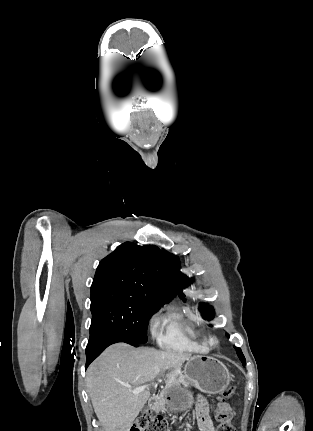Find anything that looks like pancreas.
I'll list each match as a JSON object with an SVG mask.
<instances>
[{"label": "pancreas", "instance_id": "cf45deb5", "mask_svg": "<svg viewBox=\"0 0 313 431\" xmlns=\"http://www.w3.org/2000/svg\"><path fill=\"white\" fill-rule=\"evenodd\" d=\"M174 382H175L177 385H181V384H182L185 388H186V387H188V386H189V384H190V383L185 379V377H184L182 374H180L179 376H177V377L174 379ZM163 395H165V392L163 393ZM165 404H166V400L164 399V397H163V396H161V397L157 400V402H156V407H157V409H158L159 411H161V412H165V411H167Z\"/></svg>", "mask_w": 313, "mask_h": 431}]
</instances>
